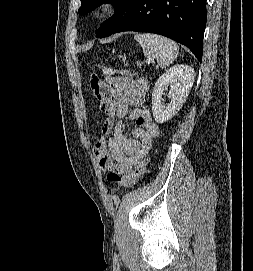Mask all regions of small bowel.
Returning a JSON list of instances; mask_svg holds the SVG:
<instances>
[{"label": "small bowel", "instance_id": "small-bowel-1", "mask_svg": "<svg viewBox=\"0 0 253 271\" xmlns=\"http://www.w3.org/2000/svg\"><path fill=\"white\" fill-rule=\"evenodd\" d=\"M106 74L109 83L103 84L96 96L104 119L94 152L108 175L110 172L126 175L146 156L160 128L150 111L140 107L149 90L147 80L115 72ZM130 107L134 108L130 110ZM127 116L135 124L130 136L124 132L123 119Z\"/></svg>", "mask_w": 253, "mask_h": 271}]
</instances>
